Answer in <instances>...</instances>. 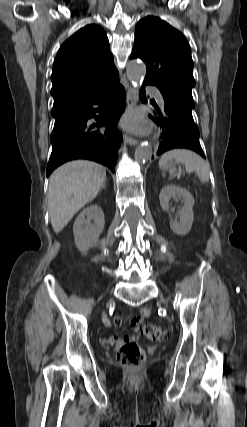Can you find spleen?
Returning a JSON list of instances; mask_svg holds the SVG:
<instances>
[{"instance_id": "1", "label": "spleen", "mask_w": 247, "mask_h": 427, "mask_svg": "<svg viewBox=\"0 0 247 427\" xmlns=\"http://www.w3.org/2000/svg\"><path fill=\"white\" fill-rule=\"evenodd\" d=\"M176 161L184 164L188 173L196 172L201 182L209 181L210 166L198 154L187 149H174L162 155L159 161L161 167Z\"/></svg>"}]
</instances>
